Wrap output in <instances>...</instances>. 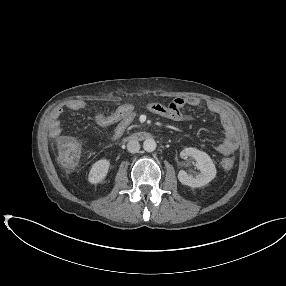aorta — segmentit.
I'll return each mask as SVG.
<instances>
[{
    "instance_id": "obj_1",
    "label": "aorta",
    "mask_w": 286,
    "mask_h": 286,
    "mask_svg": "<svg viewBox=\"0 0 286 286\" xmlns=\"http://www.w3.org/2000/svg\"><path fill=\"white\" fill-rule=\"evenodd\" d=\"M157 147L156 141L152 138H148L143 142V148L146 152H153Z\"/></svg>"
}]
</instances>
